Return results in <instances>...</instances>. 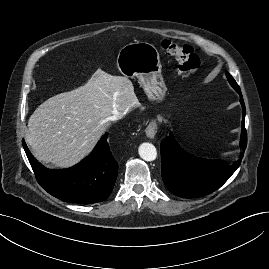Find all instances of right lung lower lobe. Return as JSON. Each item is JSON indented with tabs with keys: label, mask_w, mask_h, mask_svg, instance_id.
Listing matches in <instances>:
<instances>
[{
	"label": "right lung lower lobe",
	"mask_w": 269,
	"mask_h": 269,
	"mask_svg": "<svg viewBox=\"0 0 269 269\" xmlns=\"http://www.w3.org/2000/svg\"><path fill=\"white\" fill-rule=\"evenodd\" d=\"M106 132L91 154L73 167L50 170L42 166L23 147L37 181L52 196L71 203H96L106 200L116 181L118 163L112 156Z\"/></svg>",
	"instance_id": "1"
}]
</instances>
